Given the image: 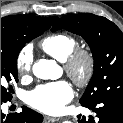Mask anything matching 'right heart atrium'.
<instances>
[{"label":"right heart atrium","instance_id":"right-heart-atrium-1","mask_svg":"<svg viewBox=\"0 0 123 123\" xmlns=\"http://www.w3.org/2000/svg\"><path fill=\"white\" fill-rule=\"evenodd\" d=\"M33 54L29 48L22 49L16 57V71L21 77H27L32 69Z\"/></svg>","mask_w":123,"mask_h":123}]
</instances>
